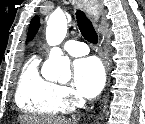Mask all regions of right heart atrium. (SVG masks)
<instances>
[{"label":"right heart atrium","instance_id":"right-heart-atrium-1","mask_svg":"<svg viewBox=\"0 0 145 124\" xmlns=\"http://www.w3.org/2000/svg\"><path fill=\"white\" fill-rule=\"evenodd\" d=\"M57 102L61 111L69 112L80 105L81 99L71 87L58 85Z\"/></svg>","mask_w":145,"mask_h":124}]
</instances>
